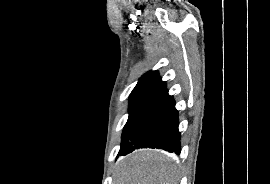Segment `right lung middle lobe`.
Listing matches in <instances>:
<instances>
[{
	"label": "right lung middle lobe",
	"instance_id": "right-lung-middle-lobe-1",
	"mask_svg": "<svg viewBox=\"0 0 270 184\" xmlns=\"http://www.w3.org/2000/svg\"><path fill=\"white\" fill-rule=\"evenodd\" d=\"M148 100H149V98H146V97L130 98V100H129V117H128L127 123L124 127V130H123L121 147H122L128 133H129L134 121L136 120V118L138 117L139 113L141 112L142 108L145 106V104L147 103Z\"/></svg>",
	"mask_w": 270,
	"mask_h": 184
}]
</instances>
